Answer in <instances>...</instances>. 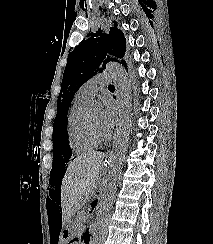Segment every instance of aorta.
Returning <instances> with one entry per match:
<instances>
[{
  "label": "aorta",
  "mask_w": 213,
  "mask_h": 244,
  "mask_svg": "<svg viewBox=\"0 0 213 244\" xmlns=\"http://www.w3.org/2000/svg\"><path fill=\"white\" fill-rule=\"evenodd\" d=\"M106 69L115 78L119 107L108 173L103 180L100 196L95 207V224L91 244H104L107 218L113 206L117 185L122 175L129 137L132 132L131 82L119 63L109 62ZM92 105L94 108L99 107L98 102H93Z\"/></svg>",
  "instance_id": "aorta-1"
}]
</instances>
